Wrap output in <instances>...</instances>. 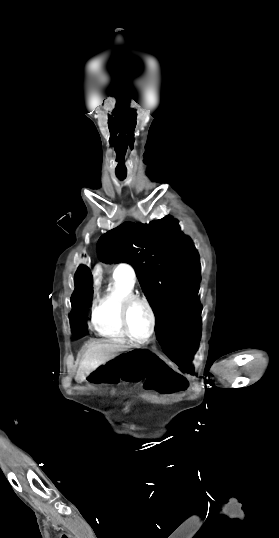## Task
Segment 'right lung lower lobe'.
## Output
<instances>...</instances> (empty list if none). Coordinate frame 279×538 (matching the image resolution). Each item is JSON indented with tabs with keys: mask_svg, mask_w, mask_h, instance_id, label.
<instances>
[{
	"mask_svg": "<svg viewBox=\"0 0 279 538\" xmlns=\"http://www.w3.org/2000/svg\"><path fill=\"white\" fill-rule=\"evenodd\" d=\"M93 298L92 275L88 267L81 265L75 274V290L71 297L70 314L72 332L86 334V311Z\"/></svg>",
	"mask_w": 279,
	"mask_h": 538,
	"instance_id": "98d812e1",
	"label": "right lung lower lobe"
}]
</instances>
